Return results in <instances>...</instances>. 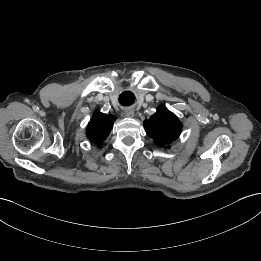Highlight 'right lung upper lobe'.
I'll list each match as a JSON object with an SVG mask.
<instances>
[{
  "mask_svg": "<svg viewBox=\"0 0 261 261\" xmlns=\"http://www.w3.org/2000/svg\"><path fill=\"white\" fill-rule=\"evenodd\" d=\"M114 118L110 115L95 113L87 128V137L100 144L109 134Z\"/></svg>",
  "mask_w": 261,
  "mask_h": 261,
  "instance_id": "right-lung-upper-lobe-1",
  "label": "right lung upper lobe"
}]
</instances>
